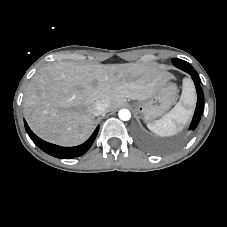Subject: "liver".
Listing matches in <instances>:
<instances>
[{
	"label": "liver",
	"instance_id": "obj_1",
	"mask_svg": "<svg viewBox=\"0 0 227 227\" xmlns=\"http://www.w3.org/2000/svg\"><path fill=\"white\" fill-rule=\"evenodd\" d=\"M172 78L156 65L47 64L28 85L24 116L40 138L62 146L79 145L93 131L97 100L107 99L109 111L115 110L127 99H149Z\"/></svg>",
	"mask_w": 227,
	"mask_h": 227
}]
</instances>
